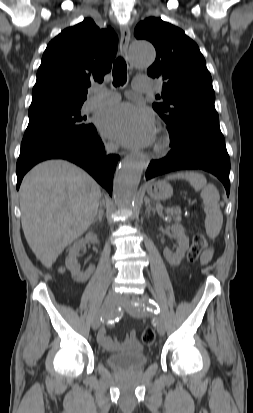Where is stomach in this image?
Returning <instances> with one entry per match:
<instances>
[{
  "label": "stomach",
  "mask_w": 253,
  "mask_h": 413,
  "mask_svg": "<svg viewBox=\"0 0 253 413\" xmlns=\"http://www.w3.org/2000/svg\"><path fill=\"white\" fill-rule=\"evenodd\" d=\"M149 196L156 200L168 199L173 194L171 185L165 181H158L147 186Z\"/></svg>",
  "instance_id": "1"
}]
</instances>
